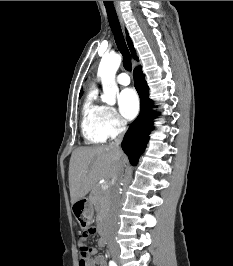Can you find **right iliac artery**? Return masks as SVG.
<instances>
[{"instance_id": "obj_1", "label": "right iliac artery", "mask_w": 233, "mask_h": 266, "mask_svg": "<svg viewBox=\"0 0 233 266\" xmlns=\"http://www.w3.org/2000/svg\"><path fill=\"white\" fill-rule=\"evenodd\" d=\"M109 266H117V264L114 261H110Z\"/></svg>"}]
</instances>
